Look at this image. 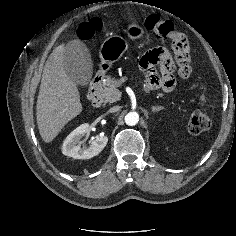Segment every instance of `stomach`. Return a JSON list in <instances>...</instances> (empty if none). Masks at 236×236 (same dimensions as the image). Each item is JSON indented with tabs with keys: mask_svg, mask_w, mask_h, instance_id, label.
Masks as SVG:
<instances>
[{
	"mask_svg": "<svg viewBox=\"0 0 236 236\" xmlns=\"http://www.w3.org/2000/svg\"><path fill=\"white\" fill-rule=\"evenodd\" d=\"M127 36L131 40L140 39L144 36V29L138 24H131L126 30ZM128 49L127 41L118 35L110 36L104 40L100 48V58L102 62V72L118 61Z\"/></svg>",
	"mask_w": 236,
	"mask_h": 236,
	"instance_id": "stomach-1",
	"label": "stomach"
}]
</instances>
